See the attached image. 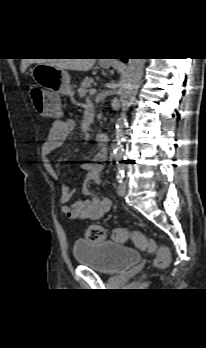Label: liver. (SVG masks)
<instances>
[{
    "label": "liver",
    "instance_id": "1",
    "mask_svg": "<svg viewBox=\"0 0 206 348\" xmlns=\"http://www.w3.org/2000/svg\"><path fill=\"white\" fill-rule=\"evenodd\" d=\"M96 59H51V60H36L23 59L21 62V72L24 73L32 63L47 64L59 69H67L74 71H89L95 64Z\"/></svg>",
    "mask_w": 206,
    "mask_h": 348
}]
</instances>
